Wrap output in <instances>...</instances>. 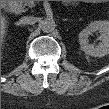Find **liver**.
I'll list each match as a JSON object with an SVG mask.
<instances>
[{"mask_svg":"<svg viewBox=\"0 0 109 109\" xmlns=\"http://www.w3.org/2000/svg\"><path fill=\"white\" fill-rule=\"evenodd\" d=\"M1 28H2V34H4V32H5V22L4 21H2Z\"/></svg>","mask_w":109,"mask_h":109,"instance_id":"6515ba94","label":"liver"}]
</instances>
